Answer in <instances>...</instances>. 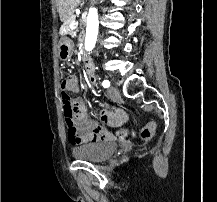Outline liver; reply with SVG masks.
<instances>
[{
  "label": "liver",
  "mask_w": 217,
  "mask_h": 202,
  "mask_svg": "<svg viewBox=\"0 0 217 202\" xmlns=\"http://www.w3.org/2000/svg\"><path fill=\"white\" fill-rule=\"evenodd\" d=\"M80 0H56V6L61 22L70 20L75 12V8L79 6Z\"/></svg>",
  "instance_id": "obj_1"
}]
</instances>
